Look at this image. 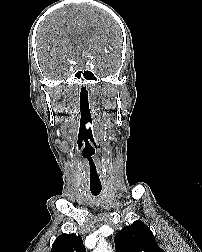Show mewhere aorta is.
<instances>
[{
	"label": "aorta",
	"instance_id": "1",
	"mask_svg": "<svg viewBox=\"0 0 202 252\" xmlns=\"http://www.w3.org/2000/svg\"><path fill=\"white\" fill-rule=\"evenodd\" d=\"M93 252H113V250L105 243H100Z\"/></svg>",
	"mask_w": 202,
	"mask_h": 252
}]
</instances>
